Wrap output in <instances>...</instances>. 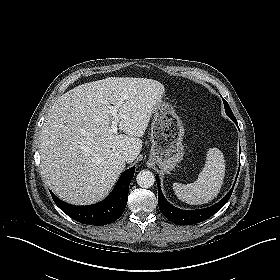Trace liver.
<instances>
[{"label": "liver", "instance_id": "1", "mask_svg": "<svg viewBox=\"0 0 280 280\" xmlns=\"http://www.w3.org/2000/svg\"><path fill=\"white\" fill-rule=\"evenodd\" d=\"M164 85L147 78L108 77L79 85L53 104L40 135L41 170L62 200L89 205L105 198L125 168L140 154L150 117L161 102ZM117 107L119 129L112 133Z\"/></svg>", "mask_w": 280, "mask_h": 280}]
</instances>
